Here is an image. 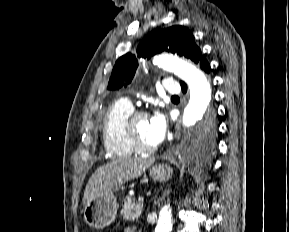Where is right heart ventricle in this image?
Instances as JSON below:
<instances>
[{
  "instance_id": "e07e8e85",
  "label": "right heart ventricle",
  "mask_w": 289,
  "mask_h": 232,
  "mask_svg": "<svg viewBox=\"0 0 289 232\" xmlns=\"http://www.w3.org/2000/svg\"><path fill=\"white\" fill-rule=\"evenodd\" d=\"M132 110L127 100L120 99L111 103L105 111L102 139L106 152L112 157L127 158L137 153L124 134V122Z\"/></svg>"
}]
</instances>
